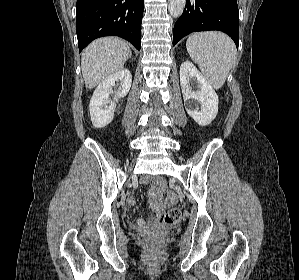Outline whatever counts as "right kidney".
Here are the masks:
<instances>
[{"label":"right kidney","mask_w":299,"mask_h":280,"mask_svg":"<svg viewBox=\"0 0 299 280\" xmlns=\"http://www.w3.org/2000/svg\"><path fill=\"white\" fill-rule=\"evenodd\" d=\"M120 82L121 87L117 92L112 91L115 82ZM132 76L128 69H121L106 79H104L96 88L90 100L89 110L92 125L96 128H102L112 122L116 108V99L125 97L131 87ZM114 95L113 100L110 95Z\"/></svg>","instance_id":"right-kidney-1"}]
</instances>
